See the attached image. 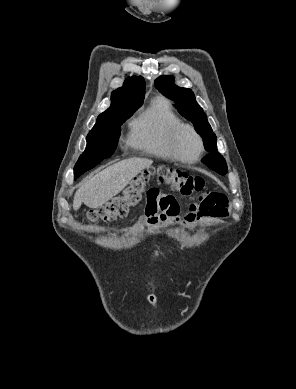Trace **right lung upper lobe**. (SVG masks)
Masks as SVG:
<instances>
[{
  "mask_svg": "<svg viewBox=\"0 0 296 389\" xmlns=\"http://www.w3.org/2000/svg\"><path fill=\"white\" fill-rule=\"evenodd\" d=\"M145 81L139 76H132L125 80L122 87L112 92L111 106L98 118H103L120 112L124 109L140 107L144 100ZM97 118V119H98Z\"/></svg>",
  "mask_w": 296,
  "mask_h": 389,
  "instance_id": "1",
  "label": "right lung upper lobe"
}]
</instances>
